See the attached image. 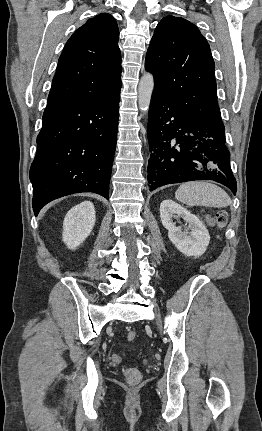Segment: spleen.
<instances>
[{"mask_svg": "<svg viewBox=\"0 0 262 431\" xmlns=\"http://www.w3.org/2000/svg\"><path fill=\"white\" fill-rule=\"evenodd\" d=\"M175 198L189 206L223 208L231 204V198L220 187L210 182L192 181L179 186Z\"/></svg>", "mask_w": 262, "mask_h": 431, "instance_id": "spleen-1", "label": "spleen"}]
</instances>
